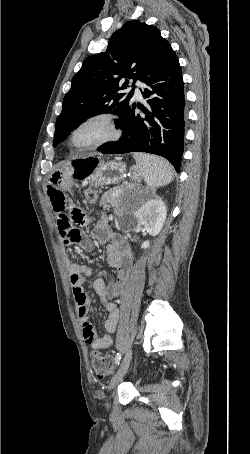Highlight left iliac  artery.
<instances>
[{"mask_svg": "<svg viewBox=\"0 0 250 454\" xmlns=\"http://www.w3.org/2000/svg\"><path fill=\"white\" fill-rule=\"evenodd\" d=\"M120 360H121V353H117V354H116V357H115V363H116V365H119Z\"/></svg>", "mask_w": 250, "mask_h": 454, "instance_id": "left-iliac-artery-1", "label": "left iliac artery"}]
</instances>
